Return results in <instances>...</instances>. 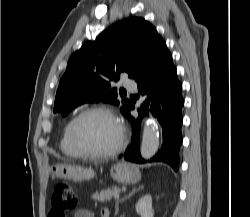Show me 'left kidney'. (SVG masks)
Listing matches in <instances>:
<instances>
[{"label": "left kidney", "instance_id": "left-kidney-1", "mask_svg": "<svg viewBox=\"0 0 250 217\" xmlns=\"http://www.w3.org/2000/svg\"><path fill=\"white\" fill-rule=\"evenodd\" d=\"M136 212L141 217H153L154 211L152 208V197L145 195L141 197L136 204Z\"/></svg>", "mask_w": 250, "mask_h": 217}]
</instances>
